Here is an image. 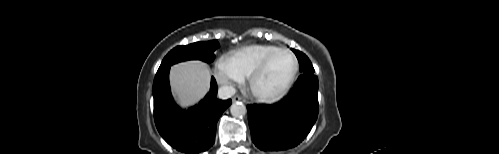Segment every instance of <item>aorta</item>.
Masks as SVG:
<instances>
[{"mask_svg": "<svg viewBox=\"0 0 499 154\" xmlns=\"http://www.w3.org/2000/svg\"><path fill=\"white\" fill-rule=\"evenodd\" d=\"M230 112L234 117H242L247 113V109L243 103L235 102L230 106Z\"/></svg>", "mask_w": 499, "mask_h": 154, "instance_id": "1", "label": "aorta"}]
</instances>
